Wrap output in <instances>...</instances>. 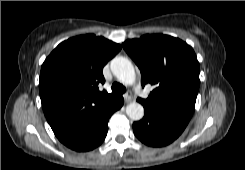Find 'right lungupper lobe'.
I'll use <instances>...</instances> for the list:
<instances>
[{
	"label": "right lung upper lobe",
	"instance_id": "obj_1",
	"mask_svg": "<svg viewBox=\"0 0 245 170\" xmlns=\"http://www.w3.org/2000/svg\"><path fill=\"white\" fill-rule=\"evenodd\" d=\"M121 46L93 34L60 43L44 61L39 81L41 103L56 137L66 144L78 137L118 96L104 83L103 67Z\"/></svg>",
	"mask_w": 245,
	"mask_h": 170
}]
</instances>
